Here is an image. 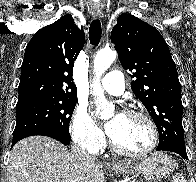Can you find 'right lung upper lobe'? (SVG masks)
Segmentation results:
<instances>
[{
    "label": "right lung upper lobe",
    "mask_w": 196,
    "mask_h": 182,
    "mask_svg": "<svg viewBox=\"0 0 196 182\" xmlns=\"http://www.w3.org/2000/svg\"><path fill=\"white\" fill-rule=\"evenodd\" d=\"M84 42V32L70 14L35 33L25 50L17 105L38 99L76 97L73 66Z\"/></svg>",
    "instance_id": "cb5924a9"
}]
</instances>
